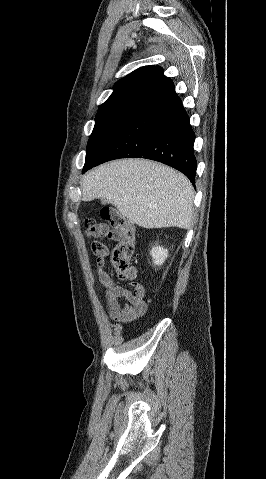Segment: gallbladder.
Wrapping results in <instances>:
<instances>
[{"instance_id":"1","label":"gallbladder","mask_w":266,"mask_h":479,"mask_svg":"<svg viewBox=\"0 0 266 479\" xmlns=\"http://www.w3.org/2000/svg\"><path fill=\"white\" fill-rule=\"evenodd\" d=\"M102 203L106 204L109 203V201L107 199H102Z\"/></svg>"}]
</instances>
